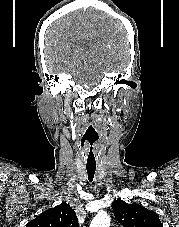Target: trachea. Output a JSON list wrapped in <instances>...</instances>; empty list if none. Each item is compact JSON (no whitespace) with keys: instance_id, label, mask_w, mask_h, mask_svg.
I'll return each mask as SVG.
<instances>
[{"instance_id":"3493384b","label":"trachea","mask_w":179,"mask_h":227,"mask_svg":"<svg viewBox=\"0 0 179 227\" xmlns=\"http://www.w3.org/2000/svg\"><path fill=\"white\" fill-rule=\"evenodd\" d=\"M96 151L95 150H88L87 151V160H86V170L88 174V180L92 182L94 178V174L96 171Z\"/></svg>"}]
</instances>
